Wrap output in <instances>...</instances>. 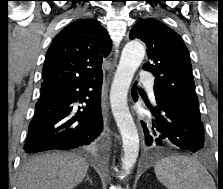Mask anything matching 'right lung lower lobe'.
<instances>
[{
	"instance_id": "obj_1",
	"label": "right lung lower lobe",
	"mask_w": 223,
	"mask_h": 189,
	"mask_svg": "<svg viewBox=\"0 0 223 189\" xmlns=\"http://www.w3.org/2000/svg\"><path fill=\"white\" fill-rule=\"evenodd\" d=\"M102 80L103 75L80 83L42 87L25 152L95 145L103 130ZM77 102L85 106H77Z\"/></svg>"
}]
</instances>
